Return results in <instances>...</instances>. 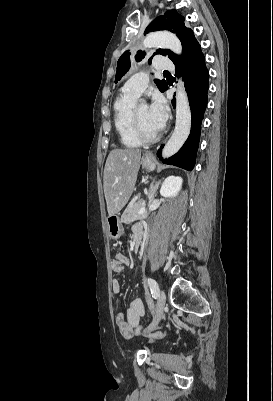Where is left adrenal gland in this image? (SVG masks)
I'll return each instance as SVG.
<instances>
[{
    "mask_svg": "<svg viewBox=\"0 0 273 401\" xmlns=\"http://www.w3.org/2000/svg\"><path fill=\"white\" fill-rule=\"evenodd\" d=\"M162 180H156V178H153L149 188H148V196H149V205L152 203L154 196L157 194L158 186L161 184Z\"/></svg>",
    "mask_w": 273,
    "mask_h": 401,
    "instance_id": "left-adrenal-gland-1",
    "label": "left adrenal gland"
}]
</instances>
